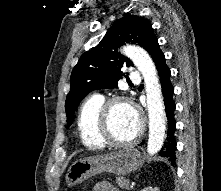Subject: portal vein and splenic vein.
I'll return each instance as SVG.
<instances>
[{"label": "portal vein and splenic vein", "mask_w": 221, "mask_h": 191, "mask_svg": "<svg viewBox=\"0 0 221 191\" xmlns=\"http://www.w3.org/2000/svg\"><path fill=\"white\" fill-rule=\"evenodd\" d=\"M134 183L131 184V187L133 188Z\"/></svg>", "instance_id": "18ae733b"}]
</instances>
